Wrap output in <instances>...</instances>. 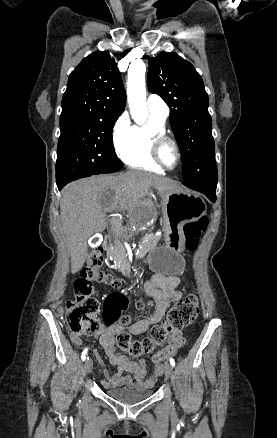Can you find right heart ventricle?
I'll use <instances>...</instances> for the list:
<instances>
[{
  "label": "right heart ventricle",
  "mask_w": 277,
  "mask_h": 438,
  "mask_svg": "<svg viewBox=\"0 0 277 438\" xmlns=\"http://www.w3.org/2000/svg\"><path fill=\"white\" fill-rule=\"evenodd\" d=\"M152 134H165V121L148 114V120L144 125H130L128 137L118 148V152L122 161L131 169L163 174L164 170L152 156Z\"/></svg>",
  "instance_id": "obj_1"
}]
</instances>
